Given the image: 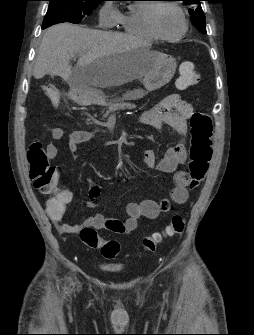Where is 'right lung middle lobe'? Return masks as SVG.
<instances>
[{
  "label": "right lung middle lobe",
  "mask_w": 254,
  "mask_h": 335,
  "mask_svg": "<svg viewBox=\"0 0 254 335\" xmlns=\"http://www.w3.org/2000/svg\"><path fill=\"white\" fill-rule=\"evenodd\" d=\"M48 11L43 20L42 28L61 22L79 23L86 15L98 6L102 0H48Z\"/></svg>",
  "instance_id": "1"
}]
</instances>
